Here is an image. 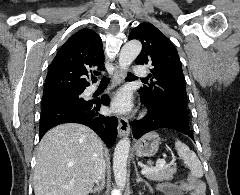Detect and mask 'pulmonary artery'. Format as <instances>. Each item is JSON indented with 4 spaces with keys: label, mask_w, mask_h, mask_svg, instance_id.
Returning a JSON list of instances; mask_svg holds the SVG:
<instances>
[{
    "label": "pulmonary artery",
    "mask_w": 240,
    "mask_h": 195,
    "mask_svg": "<svg viewBox=\"0 0 240 195\" xmlns=\"http://www.w3.org/2000/svg\"><path fill=\"white\" fill-rule=\"evenodd\" d=\"M145 69H146L145 65H137L135 67V73L139 74L140 76H145L146 75V72L144 71ZM97 89H98L97 85H90L87 88V93L91 94V93L95 92Z\"/></svg>",
    "instance_id": "obj_1"
}]
</instances>
